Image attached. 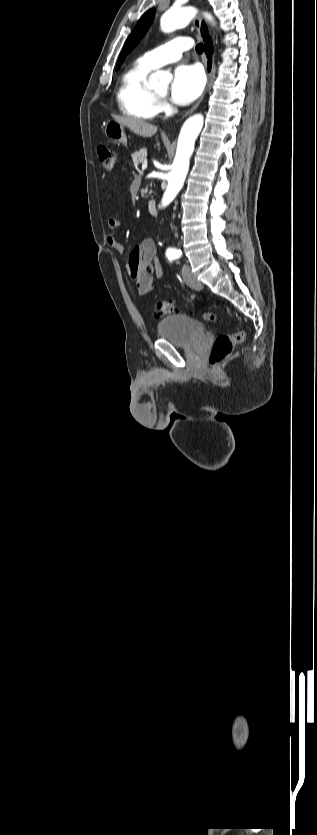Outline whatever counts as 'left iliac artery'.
Segmentation results:
<instances>
[{
    "instance_id": "left-iliac-artery-1",
    "label": "left iliac artery",
    "mask_w": 317,
    "mask_h": 835,
    "mask_svg": "<svg viewBox=\"0 0 317 835\" xmlns=\"http://www.w3.org/2000/svg\"><path fill=\"white\" fill-rule=\"evenodd\" d=\"M181 255H182L181 250H175L170 254V257L176 259V258L181 257Z\"/></svg>"
}]
</instances>
